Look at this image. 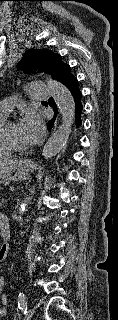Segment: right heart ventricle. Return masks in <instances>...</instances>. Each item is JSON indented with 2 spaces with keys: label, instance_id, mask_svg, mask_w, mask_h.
Listing matches in <instances>:
<instances>
[{
  "label": "right heart ventricle",
  "instance_id": "e07e8e85",
  "mask_svg": "<svg viewBox=\"0 0 118 320\" xmlns=\"http://www.w3.org/2000/svg\"><path fill=\"white\" fill-rule=\"evenodd\" d=\"M6 116L0 112V126L4 122ZM11 153V150L6 148L1 142H0V157L8 156Z\"/></svg>",
  "mask_w": 118,
  "mask_h": 320
}]
</instances>
